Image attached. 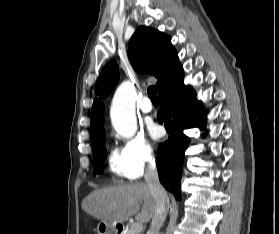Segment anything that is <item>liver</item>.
Here are the masks:
<instances>
[{"instance_id":"obj_1","label":"liver","mask_w":279,"mask_h":234,"mask_svg":"<svg viewBox=\"0 0 279 234\" xmlns=\"http://www.w3.org/2000/svg\"><path fill=\"white\" fill-rule=\"evenodd\" d=\"M82 209L109 223H123L134 215L146 223L154 215L155 199L146 183L136 182L97 189L83 200Z\"/></svg>"}]
</instances>
